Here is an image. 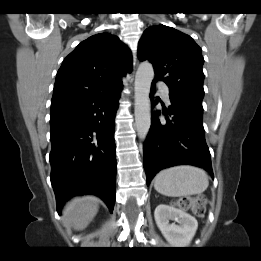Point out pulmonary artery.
<instances>
[{
    "label": "pulmonary artery",
    "instance_id": "pulmonary-artery-1",
    "mask_svg": "<svg viewBox=\"0 0 261 261\" xmlns=\"http://www.w3.org/2000/svg\"><path fill=\"white\" fill-rule=\"evenodd\" d=\"M157 88L159 89L163 99L165 101H169V90L168 87L163 83V82H158L157 83Z\"/></svg>",
    "mask_w": 261,
    "mask_h": 261
}]
</instances>
